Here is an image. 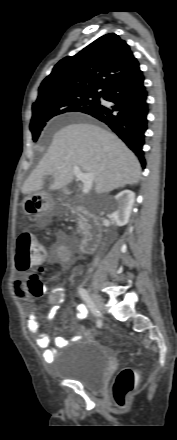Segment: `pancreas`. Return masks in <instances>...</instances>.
Returning a JSON list of instances; mask_svg holds the SVG:
<instances>
[{"instance_id":"cf45deb5","label":"pancreas","mask_w":177,"mask_h":440,"mask_svg":"<svg viewBox=\"0 0 177 440\" xmlns=\"http://www.w3.org/2000/svg\"><path fill=\"white\" fill-rule=\"evenodd\" d=\"M77 226H78V230H77L78 233L84 234L86 232L87 224L85 220L78 219Z\"/></svg>"}]
</instances>
